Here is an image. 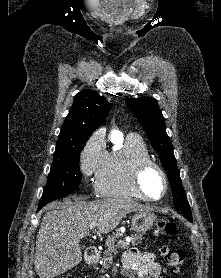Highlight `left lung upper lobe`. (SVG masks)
<instances>
[{"instance_id":"obj_1","label":"left lung upper lobe","mask_w":221,"mask_h":278,"mask_svg":"<svg viewBox=\"0 0 221 278\" xmlns=\"http://www.w3.org/2000/svg\"><path fill=\"white\" fill-rule=\"evenodd\" d=\"M127 106L146 130L152 147L158 153L170 182L175 208L183 215H191L190 206L184 193L180 173L176 165L173 147L166 133L164 117L154 98L126 99Z\"/></svg>"}]
</instances>
